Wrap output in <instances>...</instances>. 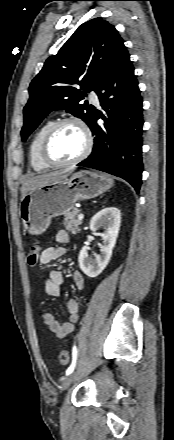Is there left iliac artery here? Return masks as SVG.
Returning a JSON list of instances; mask_svg holds the SVG:
<instances>
[{
    "mask_svg": "<svg viewBox=\"0 0 174 440\" xmlns=\"http://www.w3.org/2000/svg\"><path fill=\"white\" fill-rule=\"evenodd\" d=\"M76 360H77V348L76 346H74L72 351V363L66 370V375H69L74 371V368L76 366Z\"/></svg>",
    "mask_w": 174,
    "mask_h": 440,
    "instance_id": "1",
    "label": "left iliac artery"
}]
</instances>
